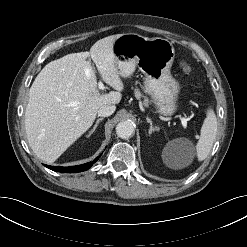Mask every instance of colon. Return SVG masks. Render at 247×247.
Here are the masks:
<instances>
[{"mask_svg": "<svg viewBox=\"0 0 247 247\" xmlns=\"http://www.w3.org/2000/svg\"><path fill=\"white\" fill-rule=\"evenodd\" d=\"M182 69H183V71H185V72H188L189 71V65L187 64V63H182Z\"/></svg>", "mask_w": 247, "mask_h": 247, "instance_id": "1", "label": "colon"}]
</instances>
